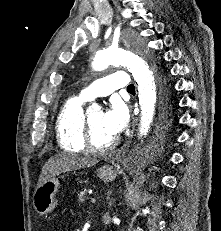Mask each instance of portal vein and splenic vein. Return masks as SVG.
Listing matches in <instances>:
<instances>
[{"label":"portal vein and splenic vein","mask_w":221,"mask_h":231,"mask_svg":"<svg viewBox=\"0 0 221 231\" xmlns=\"http://www.w3.org/2000/svg\"><path fill=\"white\" fill-rule=\"evenodd\" d=\"M90 200H91V203H95L96 202V197H91Z\"/></svg>","instance_id":"obj_1"}]
</instances>
